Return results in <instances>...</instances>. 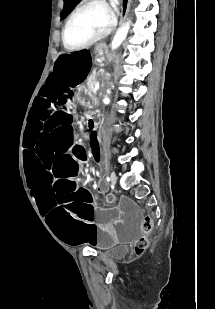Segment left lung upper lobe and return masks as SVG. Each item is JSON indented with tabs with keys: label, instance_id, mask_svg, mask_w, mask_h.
<instances>
[{
	"label": "left lung upper lobe",
	"instance_id": "1",
	"mask_svg": "<svg viewBox=\"0 0 215 309\" xmlns=\"http://www.w3.org/2000/svg\"><path fill=\"white\" fill-rule=\"evenodd\" d=\"M78 0H64V9L62 12V17L64 18L73 8L74 4Z\"/></svg>",
	"mask_w": 215,
	"mask_h": 309
}]
</instances>
